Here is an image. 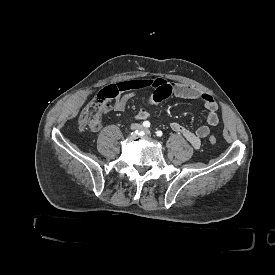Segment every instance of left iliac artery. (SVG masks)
Wrapping results in <instances>:
<instances>
[{
	"instance_id": "44dca946",
	"label": "left iliac artery",
	"mask_w": 275,
	"mask_h": 275,
	"mask_svg": "<svg viewBox=\"0 0 275 275\" xmlns=\"http://www.w3.org/2000/svg\"><path fill=\"white\" fill-rule=\"evenodd\" d=\"M156 136L161 137L163 135L162 131L158 130L155 132Z\"/></svg>"
}]
</instances>
